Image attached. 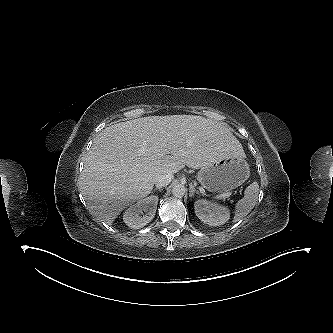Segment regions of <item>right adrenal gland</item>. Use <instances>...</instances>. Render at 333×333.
<instances>
[{
  "label": "right adrenal gland",
  "instance_id": "1",
  "mask_svg": "<svg viewBox=\"0 0 333 333\" xmlns=\"http://www.w3.org/2000/svg\"><path fill=\"white\" fill-rule=\"evenodd\" d=\"M155 190H159L161 192L163 189L162 188H155L154 191Z\"/></svg>",
  "mask_w": 333,
  "mask_h": 333
}]
</instances>
